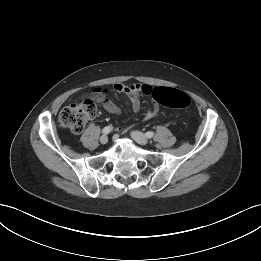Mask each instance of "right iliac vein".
<instances>
[{"label":"right iliac vein","mask_w":261,"mask_h":261,"mask_svg":"<svg viewBox=\"0 0 261 261\" xmlns=\"http://www.w3.org/2000/svg\"><path fill=\"white\" fill-rule=\"evenodd\" d=\"M108 142V137H107V135H102L101 137H100V143L101 144H106Z\"/></svg>","instance_id":"right-iliac-vein-1"}]
</instances>
